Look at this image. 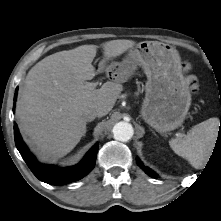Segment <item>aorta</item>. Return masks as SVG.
<instances>
[{
	"label": "aorta",
	"mask_w": 221,
	"mask_h": 221,
	"mask_svg": "<svg viewBox=\"0 0 221 221\" xmlns=\"http://www.w3.org/2000/svg\"><path fill=\"white\" fill-rule=\"evenodd\" d=\"M112 132L114 139L122 142H127L130 140L134 134L132 125L124 121L116 123Z\"/></svg>",
	"instance_id": "762f6f07"
}]
</instances>
